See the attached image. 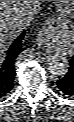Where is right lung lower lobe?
<instances>
[{"label": "right lung lower lobe", "mask_w": 74, "mask_h": 122, "mask_svg": "<svg viewBox=\"0 0 74 122\" xmlns=\"http://www.w3.org/2000/svg\"><path fill=\"white\" fill-rule=\"evenodd\" d=\"M25 32V31H24ZM24 32L13 42L4 61H0V98L7 95L14 86L15 61L23 49Z\"/></svg>", "instance_id": "right-lung-lower-lobe-1"}]
</instances>
